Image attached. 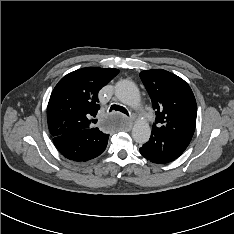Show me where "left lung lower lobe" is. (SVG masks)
I'll return each instance as SVG.
<instances>
[{"mask_svg":"<svg viewBox=\"0 0 234 234\" xmlns=\"http://www.w3.org/2000/svg\"><path fill=\"white\" fill-rule=\"evenodd\" d=\"M184 151L168 137L153 131L149 141L140 148V153L143 157L157 164L171 162Z\"/></svg>","mask_w":234,"mask_h":234,"instance_id":"1","label":"left lung lower lobe"}]
</instances>
